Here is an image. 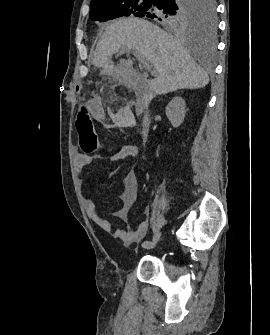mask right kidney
Wrapping results in <instances>:
<instances>
[{
    "mask_svg": "<svg viewBox=\"0 0 270 335\" xmlns=\"http://www.w3.org/2000/svg\"><path fill=\"white\" fill-rule=\"evenodd\" d=\"M185 108V100L180 98V96L173 98V100L169 102L168 106H166V116L169 118L173 128H179L182 122H184L186 112Z\"/></svg>",
    "mask_w": 270,
    "mask_h": 335,
    "instance_id": "ca27d5eb",
    "label": "right kidney"
}]
</instances>
